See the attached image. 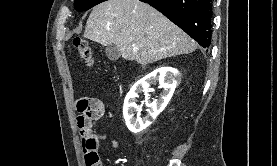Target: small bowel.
Wrapping results in <instances>:
<instances>
[{"mask_svg":"<svg viewBox=\"0 0 277 166\" xmlns=\"http://www.w3.org/2000/svg\"><path fill=\"white\" fill-rule=\"evenodd\" d=\"M76 108L79 112L76 121L80 128L85 124L91 125L92 120L100 119L105 114L104 104L97 98L79 99L76 103ZM107 139H110L113 148L118 147V142L115 139L110 138L106 133H92L91 136L82 134L83 152L88 166H93L90 163V157L92 155H98L100 144Z\"/></svg>","mask_w":277,"mask_h":166,"instance_id":"small-bowel-1","label":"small bowel"}]
</instances>
